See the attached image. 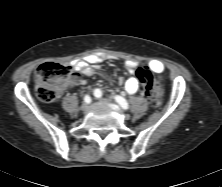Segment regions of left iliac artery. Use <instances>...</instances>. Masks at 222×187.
Masks as SVG:
<instances>
[{
  "mask_svg": "<svg viewBox=\"0 0 222 187\" xmlns=\"http://www.w3.org/2000/svg\"><path fill=\"white\" fill-rule=\"evenodd\" d=\"M94 95L96 97H101L102 96V91L100 89H95ZM115 101L125 110L129 108L128 102L121 96H114Z\"/></svg>",
  "mask_w": 222,
  "mask_h": 187,
  "instance_id": "44dca946",
  "label": "left iliac artery"
}]
</instances>
